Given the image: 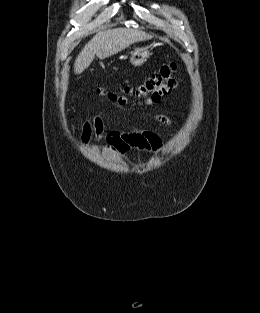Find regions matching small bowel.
<instances>
[{
	"instance_id": "1",
	"label": "small bowel",
	"mask_w": 260,
	"mask_h": 313,
	"mask_svg": "<svg viewBox=\"0 0 260 313\" xmlns=\"http://www.w3.org/2000/svg\"><path fill=\"white\" fill-rule=\"evenodd\" d=\"M153 118L165 125L173 123L168 114H157ZM93 135L96 136L98 141L105 140L106 152L116 156L126 155L131 148H137L143 153H157L163 148L160 136L152 130L130 128L127 130H112L106 133L104 121L99 116H94L83 124L80 133L82 144L87 145Z\"/></svg>"
}]
</instances>
